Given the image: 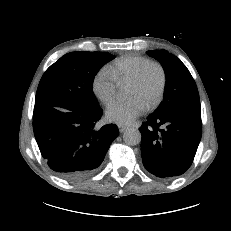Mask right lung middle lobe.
Masks as SVG:
<instances>
[{
	"label": "right lung middle lobe",
	"instance_id": "1",
	"mask_svg": "<svg viewBox=\"0 0 231 231\" xmlns=\"http://www.w3.org/2000/svg\"><path fill=\"white\" fill-rule=\"evenodd\" d=\"M114 56L104 52H71L43 74L35 102L72 111L88 112L99 107L92 86L95 75Z\"/></svg>",
	"mask_w": 231,
	"mask_h": 231
}]
</instances>
